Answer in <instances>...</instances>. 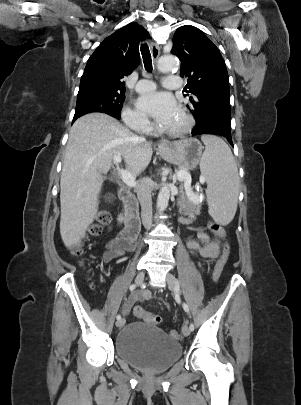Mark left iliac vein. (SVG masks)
I'll use <instances>...</instances> for the list:
<instances>
[{
    "mask_svg": "<svg viewBox=\"0 0 301 405\" xmlns=\"http://www.w3.org/2000/svg\"><path fill=\"white\" fill-rule=\"evenodd\" d=\"M166 281H167V283H168L169 289H170L171 291L175 292V293H178V291L176 290V286H177L176 277H175L173 274L168 273V274L166 275ZM182 333H183L184 336H189V335H190V329H189V327L186 326V325L183 326V328H182Z\"/></svg>",
    "mask_w": 301,
    "mask_h": 405,
    "instance_id": "4c4485c4",
    "label": "left iliac vein"
}]
</instances>
